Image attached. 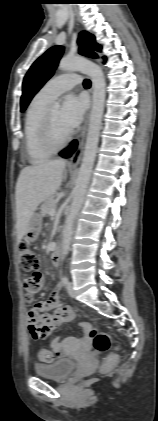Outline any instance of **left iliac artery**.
<instances>
[{
    "label": "left iliac artery",
    "mask_w": 158,
    "mask_h": 421,
    "mask_svg": "<svg viewBox=\"0 0 158 421\" xmlns=\"http://www.w3.org/2000/svg\"><path fill=\"white\" fill-rule=\"evenodd\" d=\"M62 283H63L64 285H67V284L69 283L68 278H67L66 276H64V277L62 278Z\"/></svg>",
    "instance_id": "left-iliac-artery-1"
}]
</instances>
